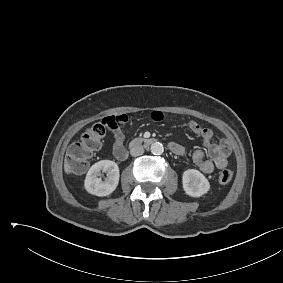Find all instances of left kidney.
I'll use <instances>...</instances> for the list:
<instances>
[{
  "mask_svg": "<svg viewBox=\"0 0 283 283\" xmlns=\"http://www.w3.org/2000/svg\"><path fill=\"white\" fill-rule=\"evenodd\" d=\"M182 184L185 193L191 197H201L210 189L208 179L196 169L184 171Z\"/></svg>",
  "mask_w": 283,
  "mask_h": 283,
  "instance_id": "5707ae66",
  "label": "left kidney"
}]
</instances>
